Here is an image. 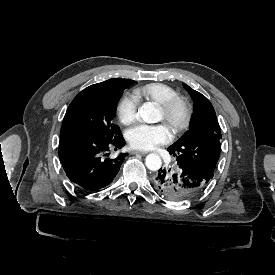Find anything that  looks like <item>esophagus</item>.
Here are the masks:
<instances>
[{"instance_id": "1", "label": "esophagus", "mask_w": 275, "mask_h": 275, "mask_svg": "<svg viewBox=\"0 0 275 275\" xmlns=\"http://www.w3.org/2000/svg\"><path fill=\"white\" fill-rule=\"evenodd\" d=\"M147 153H148L147 151H142V150H134V151H132V154L145 155Z\"/></svg>"}]
</instances>
